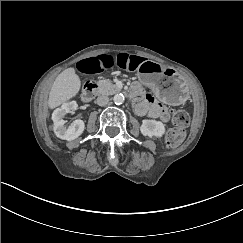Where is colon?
Wrapping results in <instances>:
<instances>
[{"label":"colon","instance_id":"colon-1","mask_svg":"<svg viewBox=\"0 0 243 243\" xmlns=\"http://www.w3.org/2000/svg\"><path fill=\"white\" fill-rule=\"evenodd\" d=\"M171 121L174 126L167 131L165 139L170 147H176L185 138V128L189 123V116L184 110H175L172 112Z\"/></svg>","mask_w":243,"mask_h":243}]
</instances>
